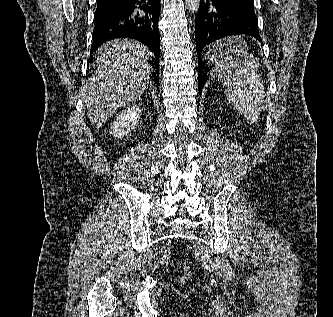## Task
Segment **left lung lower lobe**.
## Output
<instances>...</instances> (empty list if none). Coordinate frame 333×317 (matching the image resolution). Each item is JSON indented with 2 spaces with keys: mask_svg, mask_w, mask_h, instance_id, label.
Returning a JSON list of instances; mask_svg holds the SVG:
<instances>
[{
  "mask_svg": "<svg viewBox=\"0 0 333 317\" xmlns=\"http://www.w3.org/2000/svg\"><path fill=\"white\" fill-rule=\"evenodd\" d=\"M195 24L198 90L201 95L202 88L213 73L212 69L217 65L216 62L223 61L225 57L221 42L209 53L203 50L206 45L226 36L240 34L262 41L254 0H201Z\"/></svg>",
  "mask_w": 333,
  "mask_h": 317,
  "instance_id": "1",
  "label": "left lung lower lobe"
}]
</instances>
